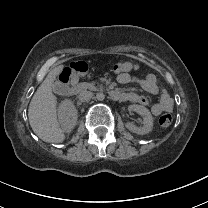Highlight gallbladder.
I'll return each instance as SVG.
<instances>
[{
  "mask_svg": "<svg viewBox=\"0 0 208 208\" xmlns=\"http://www.w3.org/2000/svg\"><path fill=\"white\" fill-rule=\"evenodd\" d=\"M52 89L54 90L55 94L58 96H63L67 92V87L63 83H56L52 86Z\"/></svg>",
  "mask_w": 208,
  "mask_h": 208,
  "instance_id": "obj_1",
  "label": "gallbladder"
}]
</instances>
